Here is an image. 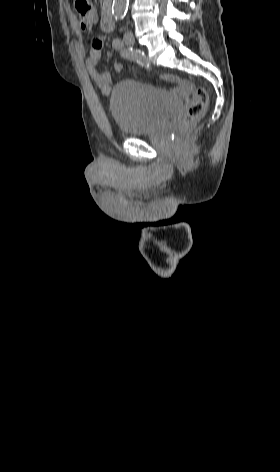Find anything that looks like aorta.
Returning <instances> with one entry per match:
<instances>
[{"mask_svg": "<svg viewBox=\"0 0 280 472\" xmlns=\"http://www.w3.org/2000/svg\"><path fill=\"white\" fill-rule=\"evenodd\" d=\"M129 5V0H113L112 14L115 19L124 17Z\"/></svg>", "mask_w": 280, "mask_h": 472, "instance_id": "obj_1", "label": "aorta"}]
</instances>
